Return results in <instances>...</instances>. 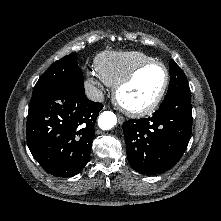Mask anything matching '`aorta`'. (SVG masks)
Masks as SVG:
<instances>
[{
    "label": "aorta",
    "mask_w": 221,
    "mask_h": 221,
    "mask_svg": "<svg viewBox=\"0 0 221 221\" xmlns=\"http://www.w3.org/2000/svg\"><path fill=\"white\" fill-rule=\"evenodd\" d=\"M117 123V118L115 114L111 111H104L98 118V126L102 130H110Z\"/></svg>",
    "instance_id": "762f6f07"
}]
</instances>
